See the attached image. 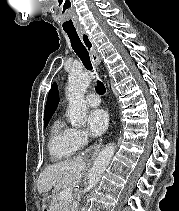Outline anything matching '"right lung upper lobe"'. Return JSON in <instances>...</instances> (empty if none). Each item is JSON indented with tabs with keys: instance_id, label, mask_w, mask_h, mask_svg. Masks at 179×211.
Masks as SVG:
<instances>
[{
	"instance_id": "1",
	"label": "right lung upper lobe",
	"mask_w": 179,
	"mask_h": 211,
	"mask_svg": "<svg viewBox=\"0 0 179 211\" xmlns=\"http://www.w3.org/2000/svg\"><path fill=\"white\" fill-rule=\"evenodd\" d=\"M58 103H59L58 88H57V84L53 83L51 90L49 91V94H48L47 104H46L45 112H44V119L52 117V115L54 114L58 106Z\"/></svg>"
}]
</instances>
